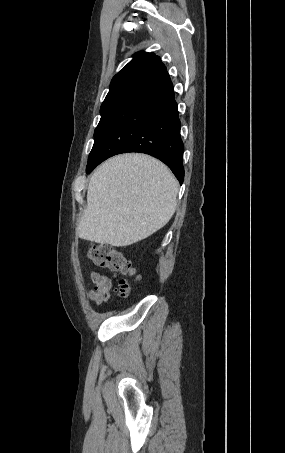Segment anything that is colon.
<instances>
[{"label": "colon", "mask_w": 285, "mask_h": 453, "mask_svg": "<svg viewBox=\"0 0 285 453\" xmlns=\"http://www.w3.org/2000/svg\"><path fill=\"white\" fill-rule=\"evenodd\" d=\"M87 258L97 267L108 269L122 276H136V269L120 251L108 245L94 244L86 254ZM119 291L122 297L131 293V285L125 279L119 280Z\"/></svg>", "instance_id": "obj_1"}]
</instances>
